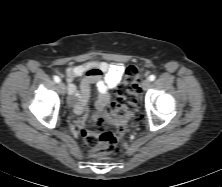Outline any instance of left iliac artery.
I'll use <instances>...</instances> for the list:
<instances>
[{"mask_svg": "<svg viewBox=\"0 0 222 187\" xmlns=\"http://www.w3.org/2000/svg\"><path fill=\"white\" fill-rule=\"evenodd\" d=\"M155 78H156V76H155V75H150L149 80H150V81H154V80H155Z\"/></svg>", "mask_w": 222, "mask_h": 187, "instance_id": "44dca946", "label": "left iliac artery"}]
</instances>
